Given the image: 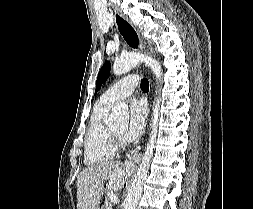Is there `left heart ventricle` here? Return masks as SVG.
<instances>
[{
    "mask_svg": "<svg viewBox=\"0 0 253 209\" xmlns=\"http://www.w3.org/2000/svg\"><path fill=\"white\" fill-rule=\"evenodd\" d=\"M126 124L125 123H120V124H117V125H114L112 126V129L122 137V133L124 131V128H125Z\"/></svg>",
    "mask_w": 253,
    "mask_h": 209,
    "instance_id": "b2bd125f",
    "label": "left heart ventricle"
}]
</instances>
